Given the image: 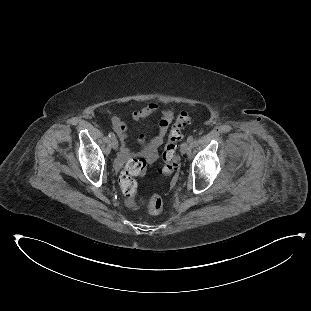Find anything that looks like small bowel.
I'll return each instance as SVG.
<instances>
[{
    "label": "small bowel",
    "mask_w": 311,
    "mask_h": 311,
    "mask_svg": "<svg viewBox=\"0 0 311 311\" xmlns=\"http://www.w3.org/2000/svg\"><path fill=\"white\" fill-rule=\"evenodd\" d=\"M156 114H159L160 116L156 135L149 140H147L145 136L140 135L138 139L142 149L137 155L148 162H153L157 159L158 150L165 139L169 126L173 120L174 113L171 109H160V106L157 103H150L134 110L131 114L134 121H139ZM113 127L121 143L120 159L124 162L130 158V150L127 144V126L123 120L114 118Z\"/></svg>",
    "instance_id": "obj_1"
}]
</instances>
